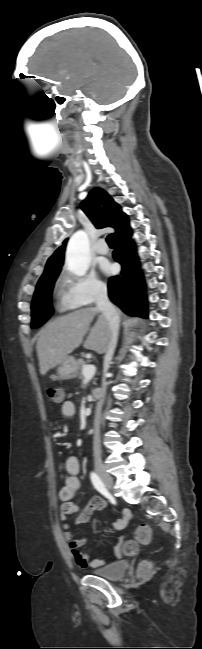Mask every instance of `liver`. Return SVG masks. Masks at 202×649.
<instances>
[{
  "mask_svg": "<svg viewBox=\"0 0 202 649\" xmlns=\"http://www.w3.org/2000/svg\"><path fill=\"white\" fill-rule=\"evenodd\" d=\"M119 315L121 312L118 310ZM99 313L97 308H85L60 316L46 324L39 332L36 345L40 373L45 375L51 368L61 364L79 347ZM111 336L109 323L102 314L84 343V347L98 354L106 353Z\"/></svg>",
  "mask_w": 202,
  "mask_h": 649,
  "instance_id": "obj_1",
  "label": "liver"
}]
</instances>
